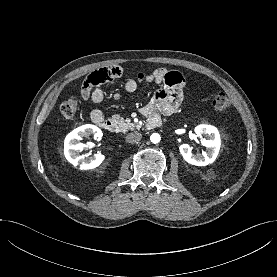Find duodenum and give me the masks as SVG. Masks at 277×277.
I'll use <instances>...</instances> for the list:
<instances>
[{"mask_svg":"<svg viewBox=\"0 0 277 277\" xmlns=\"http://www.w3.org/2000/svg\"><path fill=\"white\" fill-rule=\"evenodd\" d=\"M98 127L109 131V132H113L115 130V124L113 121L109 120V119H98L95 123ZM161 125V118L154 114V115H150L148 117L147 123H146V127L148 129H154L156 127H159Z\"/></svg>","mask_w":277,"mask_h":277,"instance_id":"410a0bca","label":"duodenum"}]
</instances>
